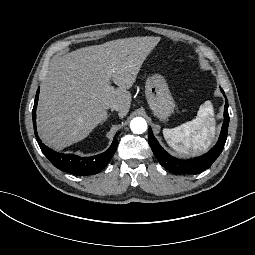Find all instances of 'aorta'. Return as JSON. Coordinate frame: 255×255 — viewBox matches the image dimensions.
Masks as SVG:
<instances>
[{"label":"aorta","instance_id":"1","mask_svg":"<svg viewBox=\"0 0 255 255\" xmlns=\"http://www.w3.org/2000/svg\"><path fill=\"white\" fill-rule=\"evenodd\" d=\"M130 128L133 133L142 134L147 129V123L144 118L136 117L131 121Z\"/></svg>","mask_w":255,"mask_h":255}]
</instances>
